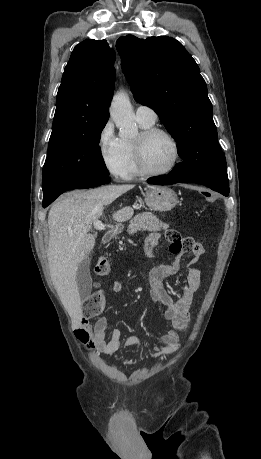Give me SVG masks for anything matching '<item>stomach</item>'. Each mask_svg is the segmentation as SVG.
<instances>
[{"label":"stomach","instance_id":"0dacf381","mask_svg":"<svg viewBox=\"0 0 261 459\" xmlns=\"http://www.w3.org/2000/svg\"><path fill=\"white\" fill-rule=\"evenodd\" d=\"M145 203L153 211L166 212L177 205L178 198L167 186H150L145 194Z\"/></svg>","mask_w":261,"mask_h":459}]
</instances>
